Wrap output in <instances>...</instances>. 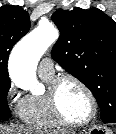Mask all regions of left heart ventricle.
Listing matches in <instances>:
<instances>
[{"label": "left heart ventricle", "instance_id": "left-heart-ventricle-1", "mask_svg": "<svg viewBox=\"0 0 116 134\" xmlns=\"http://www.w3.org/2000/svg\"><path fill=\"white\" fill-rule=\"evenodd\" d=\"M58 105L61 113L75 122L84 120L91 110L88 96L73 82L62 84L58 93Z\"/></svg>", "mask_w": 116, "mask_h": 134}]
</instances>
